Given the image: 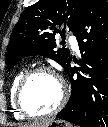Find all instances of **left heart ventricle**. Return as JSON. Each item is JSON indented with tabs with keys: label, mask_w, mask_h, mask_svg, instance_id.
<instances>
[{
	"label": "left heart ventricle",
	"mask_w": 108,
	"mask_h": 127,
	"mask_svg": "<svg viewBox=\"0 0 108 127\" xmlns=\"http://www.w3.org/2000/svg\"><path fill=\"white\" fill-rule=\"evenodd\" d=\"M61 88L59 81L47 73L35 75L24 91V104L34 113H45L53 109L59 101Z\"/></svg>",
	"instance_id": "left-heart-ventricle-1"
}]
</instances>
